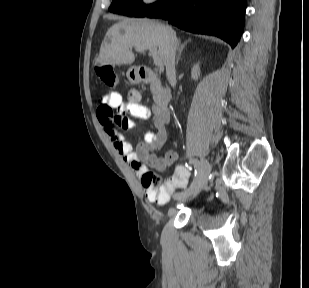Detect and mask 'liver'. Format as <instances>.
I'll use <instances>...</instances> for the list:
<instances>
[{
	"instance_id": "6515ba94",
	"label": "liver",
	"mask_w": 309,
	"mask_h": 288,
	"mask_svg": "<svg viewBox=\"0 0 309 288\" xmlns=\"http://www.w3.org/2000/svg\"><path fill=\"white\" fill-rule=\"evenodd\" d=\"M169 29L148 19H123L107 31L96 62L101 66L132 64L135 61L133 47L154 46L158 48V56L165 63Z\"/></svg>"
}]
</instances>
